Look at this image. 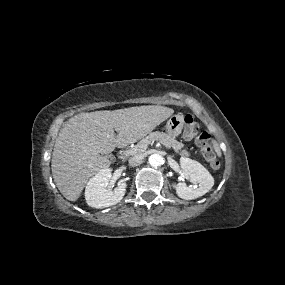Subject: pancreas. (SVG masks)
I'll return each instance as SVG.
<instances>
[{
	"mask_svg": "<svg viewBox=\"0 0 285 285\" xmlns=\"http://www.w3.org/2000/svg\"><path fill=\"white\" fill-rule=\"evenodd\" d=\"M160 140L169 147H172L176 153H179L180 155L183 156H190L189 152L186 149H183L184 144L177 141L174 137L163 133V132H152L145 138H143L140 142H138L134 147L130 148L127 152L126 155H138L142 154L146 149L144 146L152 143L153 141Z\"/></svg>",
	"mask_w": 285,
	"mask_h": 285,
	"instance_id": "1",
	"label": "pancreas"
}]
</instances>
